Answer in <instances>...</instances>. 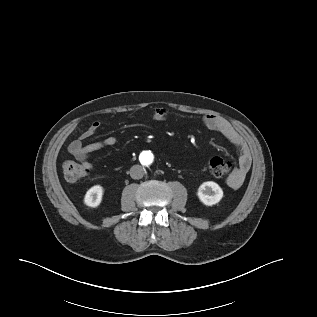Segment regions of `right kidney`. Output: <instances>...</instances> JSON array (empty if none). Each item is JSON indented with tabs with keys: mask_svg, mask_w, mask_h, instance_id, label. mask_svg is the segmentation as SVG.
<instances>
[{
	"mask_svg": "<svg viewBox=\"0 0 317 317\" xmlns=\"http://www.w3.org/2000/svg\"><path fill=\"white\" fill-rule=\"evenodd\" d=\"M102 195V187L100 185H95L86 192L84 203L89 207H97L102 201Z\"/></svg>",
	"mask_w": 317,
	"mask_h": 317,
	"instance_id": "right-kidney-1",
	"label": "right kidney"
}]
</instances>
